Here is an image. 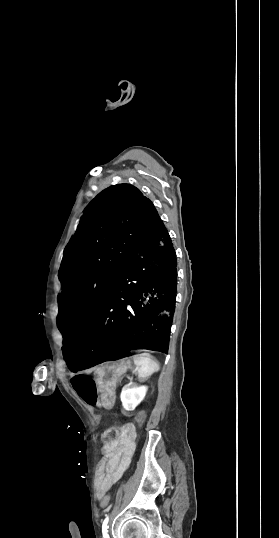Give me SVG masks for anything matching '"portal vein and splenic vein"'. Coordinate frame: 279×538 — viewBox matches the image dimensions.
Masks as SVG:
<instances>
[{"label":"portal vein and splenic vein","mask_w":279,"mask_h":538,"mask_svg":"<svg viewBox=\"0 0 279 538\" xmlns=\"http://www.w3.org/2000/svg\"><path fill=\"white\" fill-rule=\"evenodd\" d=\"M131 379V380H130ZM127 380H128V383H134V378L133 376H128L127 377Z\"/></svg>","instance_id":"portal-vein-and-splenic-vein-1"}]
</instances>
